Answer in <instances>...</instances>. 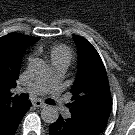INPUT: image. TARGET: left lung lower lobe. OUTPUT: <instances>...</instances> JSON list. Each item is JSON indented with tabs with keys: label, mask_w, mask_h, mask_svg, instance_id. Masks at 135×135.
<instances>
[{
	"label": "left lung lower lobe",
	"mask_w": 135,
	"mask_h": 135,
	"mask_svg": "<svg viewBox=\"0 0 135 135\" xmlns=\"http://www.w3.org/2000/svg\"><path fill=\"white\" fill-rule=\"evenodd\" d=\"M50 135H98L91 128L78 123L71 118L65 120L59 116L58 120L50 125Z\"/></svg>",
	"instance_id": "1"
}]
</instances>
